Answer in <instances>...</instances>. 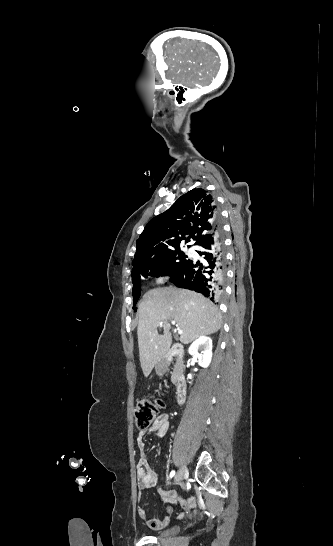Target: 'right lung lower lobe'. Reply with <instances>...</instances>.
I'll return each instance as SVG.
<instances>
[{
	"instance_id": "right-lung-lower-lobe-1",
	"label": "right lung lower lobe",
	"mask_w": 333,
	"mask_h": 546,
	"mask_svg": "<svg viewBox=\"0 0 333 546\" xmlns=\"http://www.w3.org/2000/svg\"><path fill=\"white\" fill-rule=\"evenodd\" d=\"M195 245L204 248V251H198L204 255L203 264L189 259L171 276L170 281L177 287L194 290L213 301L223 290L225 280V250L219 226L216 225Z\"/></svg>"
}]
</instances>
